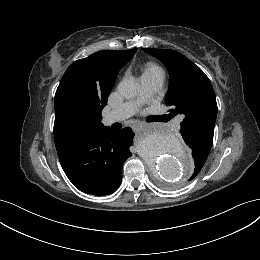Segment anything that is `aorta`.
I'll use <instances>...</instances> for the list:
<instances>
[{
	"mask_svg": "<svg viewBox=\"0 0 260 260\" xmlns=\"http://www.w3.org/2000/svg\"><path fill=\"white\" fill-rule=\"evenodd\" d=\"M139 90V83L132 78L124 79L118 85L119 93L125 98L135 97ZM138 151L150 165L153 176L163 182L182 180L192 171V161L184 145L175 134L163 127L146 128Z\"/></svg>",
	"mask_w": 260,
	"mask_h": 260,
	"instance_id": "obj_1",
	"label": "aorta"
}]
</instances>
